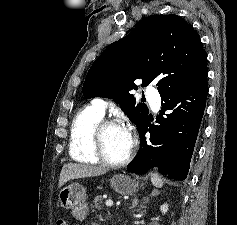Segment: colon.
Wrapping results in <instances>:
<instances>
[{
  "label": "colon",
  "mask_w": 237,
  "mask_h": 225,
  "mask_svg": "<svg viewBox=\"0 0 237 225\" xmlns=\"http://www.w3.org/2000/svg\"><path fill=\"white\" fill-rule=\"evenodd\" d=\"M56 225H68V223L66 219L60 218L57 220Z\"/></svg>",
  "instance_id": "1"
}]
</instances>
